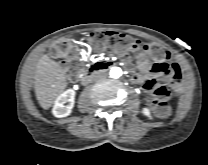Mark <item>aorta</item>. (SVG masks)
<instances>
[{"instance_id":"obj_1","label":"aorta","mask_w":208,"mask_h":165,"mask_svg":"<svg viewBox=\"0 0 208 165\" xmlns=\"http://www.w3.org/2000/svg\"><path fill=\"white\" fill-rule=\"evenodd\" d=\"M109 74L112 78H119L122 76V69L119 67H112Z\"/></svg>"}]
</instances>
